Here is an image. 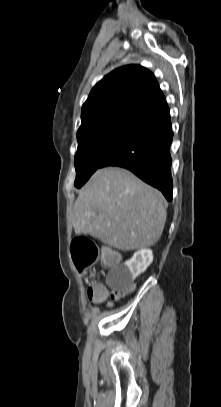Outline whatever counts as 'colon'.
<instances>
[{
    "mask_svg": "<svg viewBox=\"0 0 221 407\" xmlns=\"http://www.w3.org/2000/svg\"><path fill=\"white\" fill-rule=\"evenodd\" d=\"M104 252V267L109 268L113 266V261H121L122 254L118 252L116 246H109ZM99 252L98 248L90 239L85 237H77L72 242V257L75 265L80 271L85 268L94 265L98 260ZM132 291H111V297L113 299L122 298ZM108 295L106 287L103 285H93L88 289V296L95 302L103 301Z\"/></svg>",
    "mask_w": 221,
    "mask_h": 407,
    "instance_id": "colon-1",
    "label": "colon"
}]
</instances>
